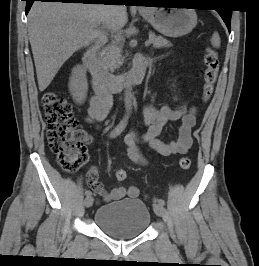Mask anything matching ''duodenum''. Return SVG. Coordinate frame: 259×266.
Here are the masks:
<instances>
[{"label": "duodenum", "instance_id": "duodenum-1", "mask_svg": "<svg viewBox=\"0 0 259 266\" xmlns=\"http://www.w3.org/2000/svg\"><path fill=\"white\" fill-rule=\"evenodd\" d=\"M104 40H98L91 45L83 54V61L91 72L95 88L114 92L128 84H139L143 81L148 66L144 57L135 60L133 69L124 74H112L108 72L98 60V51Z\"/></svg>", "mask_w": 259, "mask_h": 266}]
</instances>
